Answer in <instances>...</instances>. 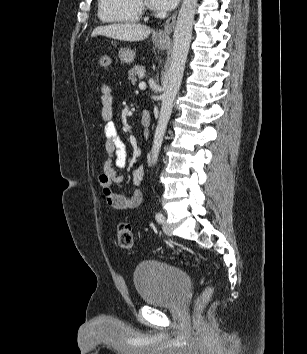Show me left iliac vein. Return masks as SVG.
<instances>
[{
	"label": "left iliac vein",
	"mask_w": 307,
	"mask_h": 354,
	"mask_svg": "<svg viewBox=\"0 0 307 354\" xmlns=\"http://www.w3.org/2000/svg\"><path fill=\"white\" fill-rule=\"evenodd\" d=\"M162 229L166 235H168V236L172 235L171 229H170L169 225L166 223L165 218L163 221Z\"/></svg>",
	"instance_id": "obj_1"
}]
</instances>
